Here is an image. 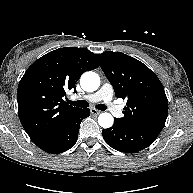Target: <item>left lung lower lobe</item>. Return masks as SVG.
<instances>
[{
    "label": "left lung lower lobe",
    "mask_w": 193,
    "mask_h": 193,
    "mask_svg": "<svg viewBox=\"0 0 193 193\" xmlns=\"http://www.w3.org/2000/svg\"><path fill=\"white\" fill-rule=\"evenodd\" d=\"M163 129L160 125L146 127H125L115 121L111 128L104 129L102 135L112 148L126 153H135L148 147Z\"/></svg>",
    "instance_id": "0a47b994"
}]
</instances>
